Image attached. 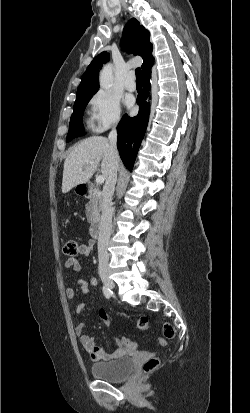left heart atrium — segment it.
<instances>
[{
    "instance_id": "1",
    "label": "left heart atrium",
    "mask_w": 250,
    "mask_h": 413,
    "mask_svg": "<svg viewBox=\"0 0 250 413\" xmlns=\"http://www.w3.org/2000/svg\"><path fill=\"white\" fill-rule=\"evenodd\" d=\"M126 103H127V106H129V107H132V105H133L132 99H128V100L126 101Z\"/></svg>"
}]
</instances>
